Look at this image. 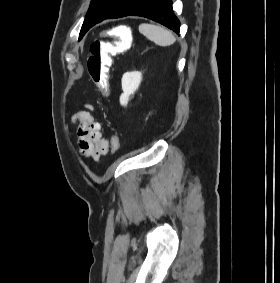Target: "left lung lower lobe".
<instances>
[{
	"label": "left lung lower lobe",
	"mask_w": 280,
	"mask_h": 283,
	"mask_svg": "<svg viewBox=\"0 0 280 283\" xmlns=\"http://www.w3.org/2000/svg\"><path fill=\"white\" fill-rule=\"evenodd\" d=\"M129 15L149 18L168 27L177 34L180 30V22L172 10V0H145Z\"/></svg>",
	"instance_id": "0a47b994"
}]
</instances>
